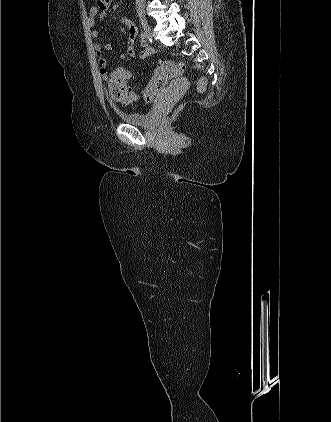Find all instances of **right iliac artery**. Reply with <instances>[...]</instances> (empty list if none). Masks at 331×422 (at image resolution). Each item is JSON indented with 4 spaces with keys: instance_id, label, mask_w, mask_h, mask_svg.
I'll return each instance as SVG.
<instances>
[{
    "instance_id": "obj_1",
    "label": "right iliac artery",
    "mask_w": 331,
    "mask_h": 422,
    "mask_svg": "<svg viewBox=\"0 0 331 422\" xmlns=\"http://www.w3.org/2000/svg\"><path fill=\"white\" fill-rule=\"evenodd\" d=\"M140 38H141V39H145V38H146V34H145L144 32H141V33H140Z\"/></svg>"
}]
</instances>
